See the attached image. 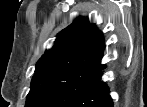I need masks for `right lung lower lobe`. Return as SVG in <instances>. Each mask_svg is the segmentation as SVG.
Segmentation results:
<instances>
[{
    "mask_svg": "<svg viewBox=\"0 0 147 107\" xmlns=\"http://www.w3.org/2000/svg\"><path fill=\"white\" fill-rule=\"evenodd\" d=\"M101 76L102 71L67 107H113L110 90Z\"/></svg>",
    "mask_w": 147,
    "mask_h": 107,
    "instance_id": "obj_1",
    "label": "right lung lower lobe"
}]
</instances>
